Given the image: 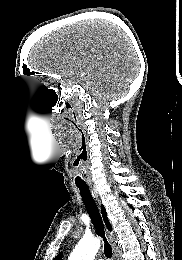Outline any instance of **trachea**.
<instances>
[{"mask_svg":"<svg viewBox=\"0 0 182 260\" xmlns=\"http://www.w3.org/2000/svg\"><path fill=\"white\" fill-rule=\"evenodd\" d=\"M78 189L80 191V195L82 197L86 210L91 218L95 231L97 235L100 236L104 241V254L106 255L107 258H111L112 257L111 245L109 244V242L105 237L103 221L100 216L98 207L91 195V192L88 187L78 186Z\"/></svg>","mask_w":182,"mask_h":260,"instance_id":"obj_1","label":"trachea"}]
</instances>
